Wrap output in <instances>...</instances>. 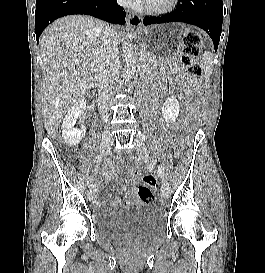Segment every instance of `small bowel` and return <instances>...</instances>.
Returning a JSON list of instances; mask_svg holds the SVG:
<instances>
[{"mask_svg":"<svg viewBox=\"0 0 265 273\" xmlns=\"http://www.w3.org/2000/svg\"><path fill=\"white\" fill-rule=\"evenodd\" d=\"M172 128L173 129H176L177 128V125L176 124H174L173 126H172ZM150 179V178H149ZM96 191H97V188H96ZM126 192V191H125ZM95 207L97 208V209H99L100 207H101V202L99 201V200H96L95 201Z\"/></svg>","mask_w":265,"mask_h":273,"instance_id":"obj_1","label":"small bowel"}]
</instances>
